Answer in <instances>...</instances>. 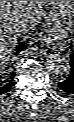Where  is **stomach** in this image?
I'll return each mask as SVG.
<instances>
[{
  "label": "stomach",
  "instance_id": "1",
  "mask_svg": "<svg viewBox=\"0 0 74 122\" xmlns=\"http://www.w3.org/2000/svg\"><path fill=\"white\" fill-rule=\"evenodd\" d=\"M74 16V1H56L50 15V20L56 23H65Z\"/></svg>",
  "mask_w": 74,
  "mask_h": 122
}]
</instances>
